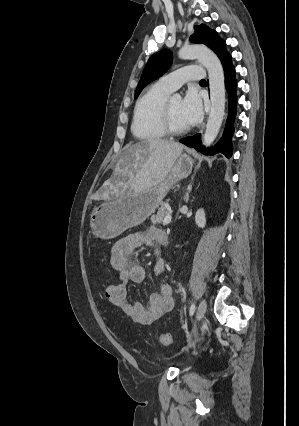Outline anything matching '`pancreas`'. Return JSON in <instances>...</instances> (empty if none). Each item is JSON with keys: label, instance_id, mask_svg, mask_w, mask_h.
<instances>
[{"label": "pancreas", "instance_id": "pancreas-1", "mask_svg": "<svg viewBox=\"0 0 299 426\" xmlns=\"http://www.w3.org/2000/svg\"><path fill=\"white\" fill-rule=\"evenodd\" d=\"M168 214V204L162 203L156 215H153L151 221L153 224H162L165 216Z\"/></svg>", "mask_w": 299, "mask_h": 426}]
</instances>
